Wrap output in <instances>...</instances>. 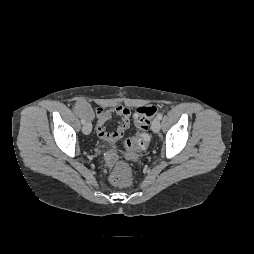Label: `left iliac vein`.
<instances>
[{
	"instance_id": "4c4485c4",
	"label": "left iliac vein",
	"mask_w": 254,
	"mask_h": 254,
	"mask_svg": "<svg viewBox=\"0 0 254 254\" xmlns=\"http://www.w3.org/2000/svg\"><path fill=\"white\" fill-rule=\"evenodd\" d=\"M151 128H152V131L154 133H158L159 132V130H160V119L158 117H156L153 120Z\"/></svg>"
}]
</instances>
